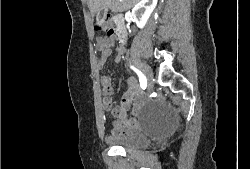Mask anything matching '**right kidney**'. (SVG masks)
<instances>
[{"label":"right kidney","mask_w":250,"mask_h":169,"mask_svg":"<svg viewBox=\"0 0 250 169\" xmlns=\"http://www.w3.org/2000/svg\"><path fill=\"white\" fill-rule=\"evenodd\" d=\"M156 4L157 0H140V2L132 8V16L139 28H144Z\"/></svg>","instance_id":"ca27d5eb"}]
</instances>
